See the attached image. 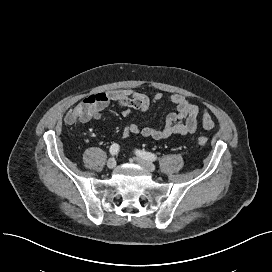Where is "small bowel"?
Segmentation results:
<instances>
[{
    "label": "small bowel",
    "instance_id": "obj_1",
    "mask_svg": "<svg viewBox=\"0 0 272 272\" xmlns=\"http://www.w3.org/2000/svg\"><path fill=\"white\" fill-rule=\"evenodd\" d=\"M164 98L163 93L157 92L152 97L133 89L110 90L107 92L85 96L65 116V122L73 125L87 122L92 119L98 120L100 113L110 102H115L122 107V115L128 116L131 109L141 113L147 112L151 106ZM169 102L176 108L170 113L163 125L159 128L143 127L136 123L127 124L122 131L123 137L142 136L154 140H162L173 135L187 136L197 129L198 118L204 129L210 130L214 122L210 115L202 112L196 104L191 103L181 94H171Z\"/></svg>",
    "mask_w": 272,
    "mask_h": 272
}]
</instances>
